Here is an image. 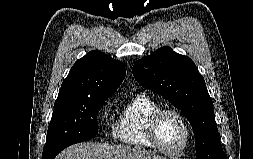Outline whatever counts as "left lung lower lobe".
I'll return each mask as SVG.
<instances>
[{"label":"left lung lower lobe","instance_id":"1","mask_svg":"<svg viewBox=\"0 0 253 159\" xmlns=\"http://www.w3.org/2000/svg\"><path fill=\"white\" fill-rule=\"evenodd\" d=\"M217 159H226V155L224 154V152H221Z\"/></svg>","mask_w":253,"mask_h":159}]
</instances>
